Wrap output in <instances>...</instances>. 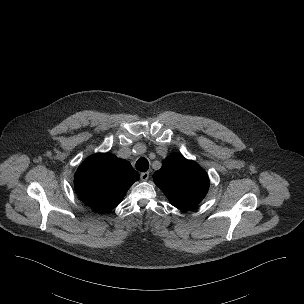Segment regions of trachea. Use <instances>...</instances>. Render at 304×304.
I'll list each match as a JSON object with an SVG mask.
<instances>
[{"mask_svg": "<svg viewBox=\"0 0 304 304\" xmlns=\"http://www.w3.org/2000/svg\"><path fill=\"white\" fill-rule=\"evenodd\" d=\"M149 168V162L146 158L141 157L136 162V169L140 172H146Z\"/></svg>", "mask_w": 304, "mask_h": 304, "instance_id": "1", "label": "trachea"}]
</instances>
